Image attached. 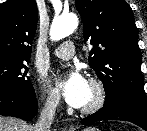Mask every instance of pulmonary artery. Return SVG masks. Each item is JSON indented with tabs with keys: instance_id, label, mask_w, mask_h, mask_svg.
Wrapping results in <instances>:
<instances>
[{
	"instance_id": "1",
	"label": "pulmonary artery",
	"mask_w": 147,
	"mask_h": 131,
	"mask_svg": "<svg viewBox=\"0 0 147 131\" xmlns=\"http://www.w3.org/2000/svg\"><path fill=\"white\" fill-rule=\"evenodd\" d=\"M74 53H75V45L72 41H66L62 43L53 51V55L62 60L71 59Z\"/></svg>"
}]
</instances>
